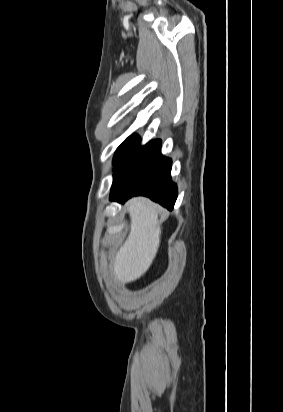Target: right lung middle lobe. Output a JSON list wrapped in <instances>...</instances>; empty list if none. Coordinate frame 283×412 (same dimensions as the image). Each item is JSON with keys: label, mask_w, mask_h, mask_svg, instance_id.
I'll list each match as a JSON object with an SVG mask.
<instances>
[{"label": "right lung middle lobe", "mask_w": 283, "mask_h": 412, "mask_svg": "<svg viewBox=\"0 0 283 412\" xmlns=\"http://www.w3.org/2000/svg\"><path fill=\"white\" fill-rule=\"evenodd\" d=\"M141 139L137 134L128 137L115 151L113 165L117 167L131 152L140 146Z\"/></svg>", "instance_id": "right-lung-middle-lobe-1"}]
</instances>
